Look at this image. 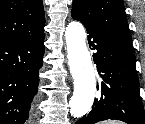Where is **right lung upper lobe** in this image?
<instances>
[{
    "mask_svg": "<svg viewBox=\"0 0 145 124\" xmlns=\"http://www.w3.org/2000/svg\"><path fill=\"white\" fill-rule=\"evenodd\" d=\"M44 26L42 0H0V41L40 33Z\"/></svg>",
    "mask_w": 145,
    "mask_h": 124,
    "instance_id": "1",
    "label": "right lung upper lobe"
}]
</instances>
